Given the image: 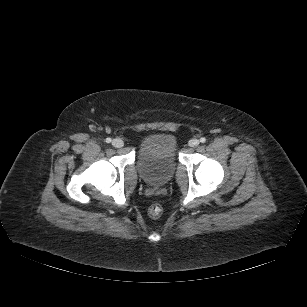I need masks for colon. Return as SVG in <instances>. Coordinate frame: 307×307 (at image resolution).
<instances>
[{
	"instance_id": "5ec220e1",
	"label": "colon",
	"mask_w": 307,
	"mask_h": 307,
	"mask_svg": "<svg viewBox=\"0 0 307 307\" xmlns=\"http://www.w3.org/2000/svg\"><path fill=\"white\" fill-rule=\"evenodd\" d=\"M162 207L159 204H153L149 208V215L153 218H157L162 214Z\"/></svg>"
}]
</instances>
